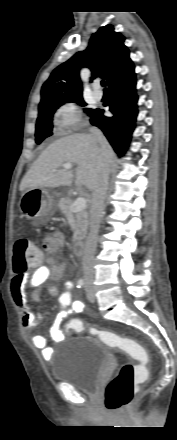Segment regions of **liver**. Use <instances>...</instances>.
<instances>
[{
    "label": "liver",
    "instance_id": "obj_1",
    "mask_svg": "<svg viewBox=\"0 0 177 440\" xmlns=\"http://www.w3.org/2000/svg\"><path fill=\"white\" fill-rule=\"evenodd\" d=\"M100 158L106 161L110 171L116 154L104 137L102 145H99L92 134L63 137L49 145L33 163L21 181L20 191L70 186L73 182V171L61 169L64 163L76 164L75 185H85L92 191L99 173Z\"/></svg>",
    "mask_w": 177,
    "mask_h": 440
}]
</instances>
